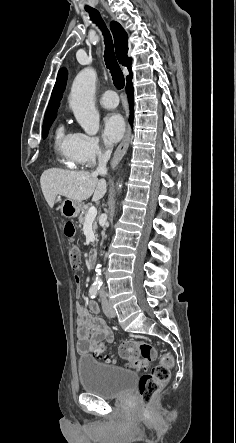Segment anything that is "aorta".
I'll return each mask as SVG.
<instances>
[{
    "instance_id": "obj_1",
    "label": "aorta",
    "mask_w": 236,
    "mask_h": 443,
    "mask_svg": "<svg viewBox=\"0 0 236 443\" xmlns=\"http://www.w3.org/2000/svg\"><path fill=\"white\" fill-rule=\"evenodd\" d=\"M97 73L93 68H84L75 78L69 99V105L86 134L94 136L99 130V113L95 108L94 94ZM101 264L96 267L95 283L101 282Z\"/></svg>"
}]
</instances>
